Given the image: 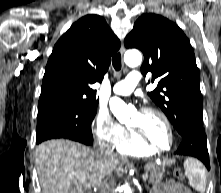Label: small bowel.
<instances>
[{
	"mask_svg": "<svg viewBox=\"0 0 221 193\" xmlns=\"http://www.w3.org/2000/svg\"><path fill=\"white\" fill-rule=\"evenodd\" d=\"M151 193H190L189 189L181 184L170 182L154 188Z\"/></svg>",
	"mask_w": 221,
	"mask_h": 193,
	"instance_id": "obj_1",
	"label": "small bowel"
}]
</instances>
